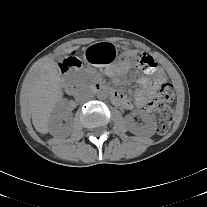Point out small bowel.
<instances>
[{
  "label": "small bowel",
  "mask_w": 207,
  "mask_h": 207,
  "mask_svg": "<svg viewBox=\"0 0 207 207\" xmlns=\"http://www.w3.org/2000/svg\"><path fill=\"white\" fill-rule=\"evenodd\" d=\"M126 65L127 64H123L120 67H111L107 70V74L110 77H116L125 71ZM151 75H153V78H149L146 76H142L139 78V83H140L141 88L137 91L136 98H135V103L137 107L144 109L146 111L152 110L153 99H154L156 90L159 84L165 78L164 72L159 67H158V70L155 73H152ZM113 99L117 104L125 108L132 107V104L130 103V101L121 92H115V97Z\"/></svg>",
  "instance_id": "1"
}]
</instances>
